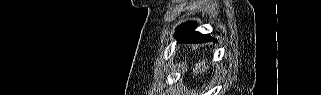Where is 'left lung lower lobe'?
<instances>
[{
	"instance_id": "left-lung-lower-lobe-1",
	"label": "left lung lower lobe",
	"mask_w": 321,
	"mask_h": 95,
	"mask_svg": "<svg viewBox=\"0 0 321 95\" xmlns=\"http://www.w3.org/2000/svg\"><path fill=\"white\" fill-rule=\"evenodd\" d=\"M196 23L188 22L181 25L176 30L175 37L178 39V42L184 43H204L208 41H214L210 35L201 34L200 32L194 31ZM216 41V40H215Z\"/></svg>"
}]
</instances>
